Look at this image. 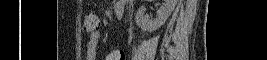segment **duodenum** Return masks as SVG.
Here are the masks:
<instances>
[{
    "mask_svg": "<svg viewBox=\"0 0 267 60\" xmlns=\"http://www.w3.org/2000/svg\"><path fill=\"white\" fill-rule=\"evenodd\" d=\"M115 11H116L117 17L121 18L124 14V7L118 6V7H116Z\"/></svg>",
    "mask_w": 267,
    "mask_h": 60,
    "instance_id": "obj_1",
    "label": "duodenum"
}]
</instances>
